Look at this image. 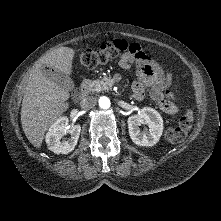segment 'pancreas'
I'll list each match as a JSON object with an SVG mask.
<instances>
[{
    "label": "pancreas",
    "instance_id": "obj_1",
    "mask_svg": "<svg viewBox=\"0 0 221 221\" xmlns=\"http://www.w3.org/2000/svg\"><path fill=\"white\" fill-rule=\"evenodd\" d=\"M114 80L111 77H103L98 80H93L89 83L88 92H99L102 90H108L112 87Z\"/></svg>",
    "mask_w": 221,
    "mask_h": 221
}]
</instances>
